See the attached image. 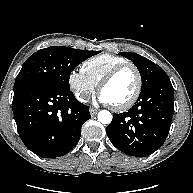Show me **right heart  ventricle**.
Here are the masks:
<instances>
[{"mask_svg": "<svg viewBox=\"0 0 193 193\" xmlns=\"http://www.w3.org/2000/svg\"><path fill=\"white\" fill-rule=\"evenodd\" d=\"M128 62L129 61L124 57L104 53L86 59L81 65V71L95 86H97L110 70Z\"/></svg>", "mask_w": 193, "mask_h": 193, "instance_id": "obj_1", "label": "right heart ventricle"}]
</instances>
